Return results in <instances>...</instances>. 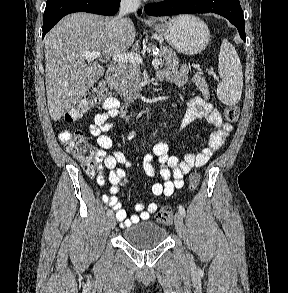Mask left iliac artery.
Listing matches in <instances>:
<instances>
[{"mask_svg": "<svg viewBox=\"0 0 288 293\" xmlns=\"http://www.w3.org/2000/svg\"><path fill=\"white\" fill-rule=\"evenodd\" d=\"M179 213L184 217L185 216V208L182 205L178 206Z\"/></svg>", "mask_w": 288, "mask_h": 293, "instance_id": "left-iliac-artery-1", "label": "left iliac artery"}]
</instances>
